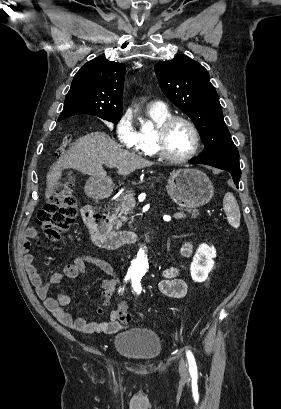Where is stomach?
<instances>
[{
	"instance_id": "1",
	"label": "stomach",
	"mask_w": 281,
	"mask_h": 409,
	"mask_svg": "<svg viewBox=\"0 0 281 409\" xmlns=\"http://www.w3.org/2000/svg\"><path fill=\"white\" fill-rule=\"evenodd\" d=\"M113 190V182L99 180V178H89L85 184V192L91 198H107ZM167 190L172 200L179 207L195 209L207 205L214 194L213 184L205 172L198 168H179L171 172Z\"/></svg>"
}]
</instances>
